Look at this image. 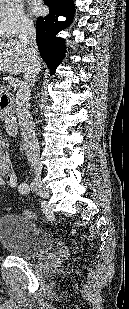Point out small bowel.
Wrapping results in <instances>:
<instances>
[{"label": "small bowel", "instance_id": "small-bowel-1", "mask_svg": "<svg viewBox=\"0 0 129 309\" xmlns=\"http://www.w3.org/2000/svg\"><path fill=\"white\" fill-rule=\"evenodd\" d=\"M5 139L0 135V187H16L17 177L12 167L8 155L4 152Z\"/></svg>", "mask_w": 129, "mask_h": 309}]
</instances>
